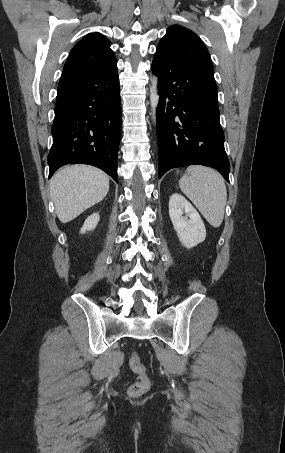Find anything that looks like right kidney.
Instances as JSON below:
<instances>
[{
	"instance_id": "obj_1",
	"label": "right kidney",
	"mask_w": 285,
	"mask_h": 453,
	"mask_svg": "<svg viewBox=\"0 0 285 453\" xmlns=\"http://www.w3.org/2000/svg\"><path fill=\"white\" fill-rule=\"evenodd\" d=\"M100 220L99 213H93L85 220L82 228L81 233H85L86 231L94 230Z\"/></svg>"
}]
</instances>
